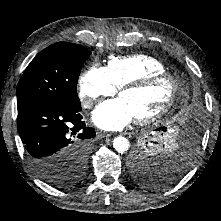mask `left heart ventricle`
<instances>
[{
	"label": "left heart ventricle",
	"mask_w": 221,
	"mask_h": 221,
	"mask_svg": "<svg viewBox=\"0 0 221 221\" xmlns=\"http://www.w3.org/2000/svg\"><path fill=\"white\" fill-rule=\"evenodd\" d=\"M172 91L171 81L162 79L144 89L124 91L120 94V98L129 105L137 119L150 116L162 109L169 101Z\"/></svg>",
	"instance_id": "b2bd125f"
}]
</instances>
